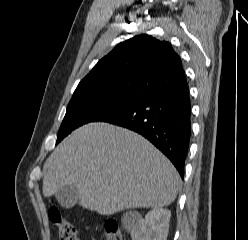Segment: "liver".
<instances>
[{"label": "liver", "mask_w": 248, "mask_h": 240, "mask_svg": "<svg viewBox=\"0 0 248 240\" xmlns=\"http://www.w3.org/2000/svg\"><path fill=\"white\" fill-rule=\"evenodd\" d=\"M43 195L74 185L79 204L101 215L129 208H162L181 179L173 164L141 135L103 122L79 127L45 163Z\"/></svg>", "instance_id": "liver-1"}]
</instances>
